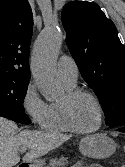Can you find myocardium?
Listing matches in <instances>:
<instances>
[{"instance_id": "obj_1", "label": "myocardium", "mask_w": 125, "mask_h": 167, "mask_svg": "<svg viewBox=\"0 0 125 167\" xmlns=\"http://www.w3.org/2000/svg\"><path fill=\"white\" fill-rule=\"evenodd\" d=\"M87 96L91 98L97 106L99 112V122L98 125L92 129H81L79 128L73 118V105L75 101L81 97ZM61 110L63 113L64 120L70 129L79 134H92L100 130L103 125L104 112L101 101L99 98L91 91L83 88H75L65 93L64 97L60 101Z\"/></svg>"}]
</instances>
